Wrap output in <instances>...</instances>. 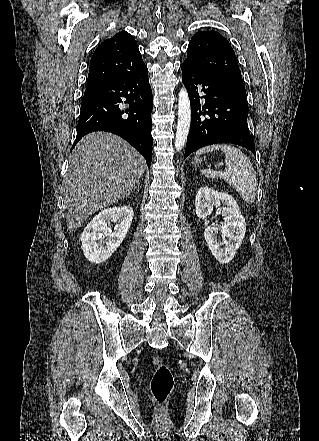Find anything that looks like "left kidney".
<instances>
[{
  "label": "left kidney",
  "mask_w": 319,
  "mask_h": 441,
  "mask_svg": "<svg viewBox=\"0 0 319 441\" xmlns=\"http://www.w3.org/2000/svg\"><path fill=\"white\" fill-rule=\"evenodd\" d=\"M221 204L223 207L220 208ZM213 206L218 207L224 216V222L218 226L222 232L223 243L218 241L217 234L212 227L205 229L204 238L219 263L227 264L233 259L236 250L242 244L246 233V223L232 196L209 187H201L195 200L197 216L201 219L206 218L212 213ZM221 245H225V248H222Z\"/></svg>",
  "instance_id": "obj_1"
}]
</instances>
